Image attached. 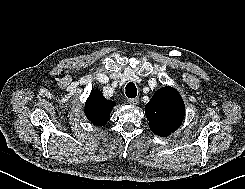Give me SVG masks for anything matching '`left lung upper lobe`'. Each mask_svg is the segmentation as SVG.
Segmentation results:
<instances>
[{"instance_id":"obj_1","label":"left lung upper lobe","mask_w":245,"mask_h":189,"mask_svg":"<svg viewBox=\"0 0 245 189\" xmlns=\"http://www.w3.org/2000/svg\"><path fill=\"white\" fill-rule=\"evenodd\" d=\"M145 114L151 131L167 137L181 125L185 105L180 94L172 87L157 90L145 106Z\"/></svg>"}]
</instances>
